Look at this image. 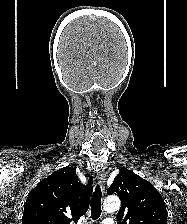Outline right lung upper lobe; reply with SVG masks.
<instances>
[{
  "label": "right lung upper lobe",
  "instance_id": "cb5924a9",
  "mask_svg": "<svg viewBox=\"0 0 187 224\" xmlns=\"http://www.w3.org/2000/svg\"><path fill=\"white\" fill-rule=\"evenodd\" d=\"M92 182L82 185L70 166L55 171L29 193L22 224H70V216L77 221L89 207Z\"/></svg>",
  "mask_w": 187,
  "mask_h": 224
}]
</instances>
